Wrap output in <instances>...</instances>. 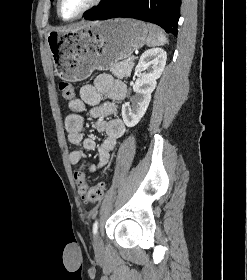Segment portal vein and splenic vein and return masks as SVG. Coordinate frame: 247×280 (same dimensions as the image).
Here are the masks:
<instances>
[{
  "label": "portal vein and splenic vein",
  "instance_id": "1",
  "mask_svg": "<svg viewBox=\"0 0 247 280\" xmlns=\"http://www.w3.org/2000/svg\"><path fill=\"white\" fill-rule=\"evenodd\" d=\"M134 58H135V57H134V56H132L131 58H129V60H134Z\"/></svg>",
  "mask_w": 247,
  "mask_h": 280
}]
</instances>
